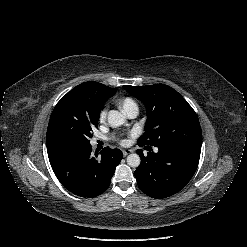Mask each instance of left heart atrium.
Masks as SVG:
<instances>
[{"mask_svg": "<svg viewBox=\"0 0 247 247\" xmlns=\"http://www.w3.org/2000/svg\"><path fill=\"white\" fill-rule=\"evenodd\" d=\"M121 143H122V144H125V143H126V140H121Z\"/></svg>", "mask_w": 247, "mask_h": 247, "instance_id": "left-heart-atrium-1", "label": "left heart atrium"}]
</instances>
